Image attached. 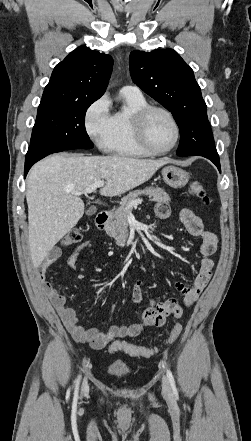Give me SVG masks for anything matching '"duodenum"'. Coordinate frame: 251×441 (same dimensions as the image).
<instances>
[{"label":"duodenum","mask_w":251,"mask_h":441,"mask_svg":"<svg viewBox=\"0 0 251 441\" xmlns=\"http://www.w3.org/2000/svg\"><path fill=\"white\" fill-rule=\"evenodd\" d=\"M110 217H111V212L109 210H104L99 212L95 219L97 227L103 230L106 227Z\"/></svg>","instance_id":"duodenum-1"}]
</instances>
